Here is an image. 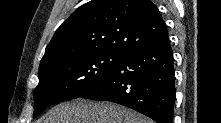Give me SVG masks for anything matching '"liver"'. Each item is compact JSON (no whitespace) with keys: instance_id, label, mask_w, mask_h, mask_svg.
<instances>
[{"instance_id":"1","label":"liver","mask_w":221,"mask_h":123,"mask_svg":"<svg viewBox=\"0 0 221 123\" xmlns=\"http://www.w3.org/2000/svg\"><path fill=\"white\" fill-rule=\"evenodd\" d=\"M43 123H152L151 120L123 106L77 99L53 107Z\"/></svg>"}]
</instances>
